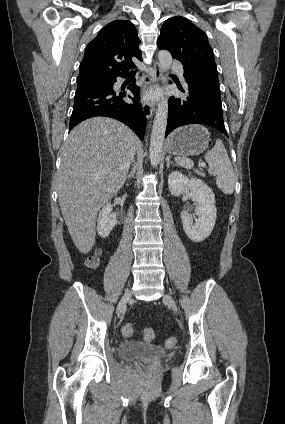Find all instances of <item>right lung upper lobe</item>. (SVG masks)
Listing matches in <instances>:
<instances>
[{
  "mask_svg": "<svg viewBox=\"0 0 285 424\" xmlns=\"http://www.w3.org/2000/svg\"><path fill=\"white\" fill-rule=\"evenodd\" d=\"M139 44L137 30L130 21L110 22L87 45L77 85L107 82L118 76H126L129 68L135 67L131 58L142 60Z\"/></svg>",
  "mask_w": 285,
  "mask_h": 424,
  "instance_id": "1",
  "label": "right lung upper lobe"
}]
</instances>
